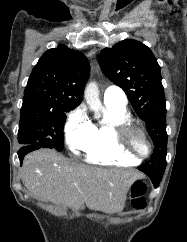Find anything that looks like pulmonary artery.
Returning <instances> with one entry per match:
<instances>
[{
  "label": "pulmonary artery",
  "mask_w": 187,
  "mask_h": 242,
  "mask_svg": "<svg viewBox=\"0 0 187 242\" xmlns=\"http://www.w3.org/2000/svg\"><path fill=\"white\" fill-rule=\"evenodd\" d=\"M103 102L105 105L126 106L127 97L121 88L112 85L105 90Z\"/></svg>",
  "instance_id": "pulmonary-artery-1"
}]
</instances>
